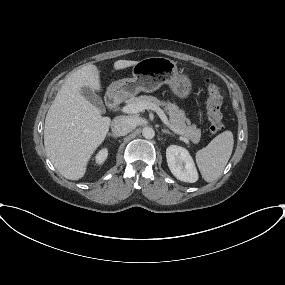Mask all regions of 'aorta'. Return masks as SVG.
<instances>
[{"label": "aorta", "mask_w": 285, "mask_h": 285, "mask_svg": "<svg viewBox=\"0 0 285 285\" xmlns=\"http://www.w3.org/2000/svg\"><path fill=\"white\" fill-rule=\"evenodd\" d=\"M142 135L146 139H152L155 136V131L151 127H145L142 130Z\"/></svg>", "instance_id": "aorta-1"}]
</instances>
